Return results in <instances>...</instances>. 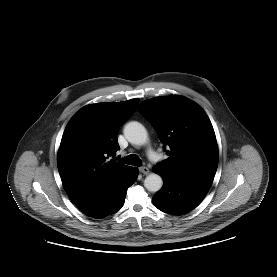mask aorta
<instances>
[{
    "label": "aorta",
    "mask_w": 277,
    "mask_h": 277,
    "mask_svg": "<svg viewBox=\"0 0 277 277\" xmlns=\"http://www.w3.org/2000/svg\"><path fill=\"white\" fill-rule=\"evenodd\" d=\"M125 138L134 145H144L148 140L145 127L136 121L129 122L124 127ZM163 185L162 177L159 174L151 173L144 180L145 188L150 192H157Z\"/></svg>",
    "instance_id": "aorta-1"
}]
</instances>
